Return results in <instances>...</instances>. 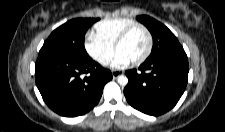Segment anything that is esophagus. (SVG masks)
<instances>
[{
	"label": "esophagus",
	"mask_w": 225,
	"mask_h": 132,
	"mask_svg": "<svg viewBox=\"0 0 225 132\" xmlns=\"http://www.w3.org/2000/svg\"><path fill=\"white\" fill-rule=\"evenodd\" d=\"M121 73H122L121 71L113 70L112 71V76H113V78H117Z\"/></svg>",
	"instance_id": "esophagus-1"
}]
</instances>
